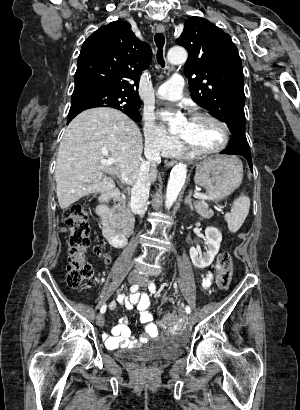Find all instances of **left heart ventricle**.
I'll return each instance as SVG.
<instances>
[{"label": "left heart ventricle", "instance_id": "1", "mask_svg": "<svg viewBox=\"0 0 300 410\" xmlns=\"http://www.w3.org/2000/svg\"><path fill=\"white\" fill-rule=\"evenodd\" d=\"M179 135L200 150L214 149L223 141L221 128L208 119L185 122L179 130Z\"/></svg>", "mask_w": 300, "mask_h": 410}]
</instances>
